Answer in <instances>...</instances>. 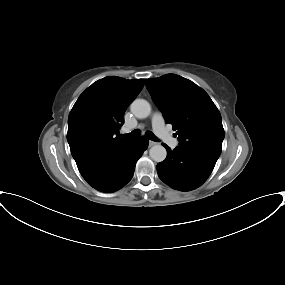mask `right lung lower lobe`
I'll return each instance as SVG.
<instances>
[{
  "instance_id": "1",
  "label": "right lung lower lobe",
  "mask_w": 285,
  "mask_h": 285,
  "mask_svg": "<svg viewBox=\"0 0 285 285\" xmlns=\"http://www.w3.org/2000/svg\"><path fill=\"white\" fill-rule=\"evenodd\" d=\"M147 147L146 137L129 140L79 166V172L96 190L115 192L131 180L136 162Z\"/></svg>"
}]
</instances>
